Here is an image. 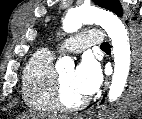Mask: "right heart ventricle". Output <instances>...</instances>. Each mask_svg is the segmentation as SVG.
<instances>
[{
    "label": "right heart ventricle",
    "instance_id": "e07e8e85",
    "mask_svg": "<svg viewBox=\"0 0 142 119\" xmlns=\"http://www.w3.org/2000/svg\"><path fill=\"white\" fill-rule=\"evenodd\" d=\"M53 54L47 49L36 51L27 62L22 76V95L25 103L39 111H54L55 78Z\"/></svg>",
    "mask_w": 142,
    "mask_h": 119
}]
</instances>
